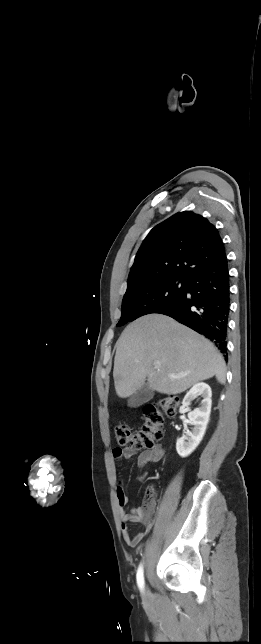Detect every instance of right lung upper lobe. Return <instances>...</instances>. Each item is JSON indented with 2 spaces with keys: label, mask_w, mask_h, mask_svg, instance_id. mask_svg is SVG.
Segmentation results:
<instances>
[{
  "label": "right lung upper lobe",
  "mask_w": 261,
  "mask_h": 644,
  "mask_svg": "<svg viewBox=\"0 0 261 644\" xmlns=\"http://www.w3.org/2000/svg\"><path fill=\"white\" fill-rule=\"evenodd\" d=\"M226 258L218 230L204 217L177 213L154 227L143 241L127 289L169 278L186 279Z\"/></svg>",
  "instance_id": "1"
}]
</instances>
